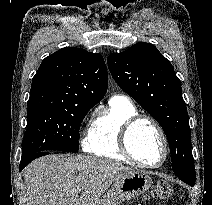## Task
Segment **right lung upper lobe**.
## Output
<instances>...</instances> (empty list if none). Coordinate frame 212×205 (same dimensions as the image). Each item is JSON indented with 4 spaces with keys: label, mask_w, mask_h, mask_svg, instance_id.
Here are the masks:
<instances>
[{
    "label": "right lung upper lobe",
    "mask_w": 212,
    "mask_h": 205,
    "mask_svg": "<svg viewBox=\"0 0 212 205\" xmlns=\"http://www.w3.org/2000/svg\"><path fill=\"white\" fill-rule=\"evenodd\" d=\"M107 86V68L100 54L66 47L42 61L32 79L28 106L95 105Z\"/></svg>",
    "instance_id": "cb5924a9"
}]
</instances>
